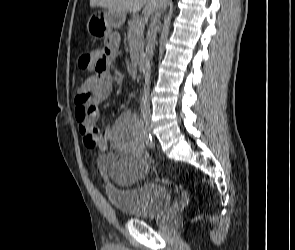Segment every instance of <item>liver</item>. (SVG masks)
Here are the masks:
<instances>
[{"mask_svg":"<svg viewBox=\"0 0 295 250\" xmlns=\"http://www.w3.org/2000/svg\"><path fill=\"white\" fill-rule=\"evenodd\" d=\"M163 8L167 5V0L162 2ZM91 7H103L116 12H137L143 7V12L147 15L153 14L160 6V0H90Z\"/></svg>","mask_w":295,"mask_h":250,"instance_id":"obj_1","label":"liver"}]
</instances>
